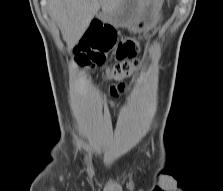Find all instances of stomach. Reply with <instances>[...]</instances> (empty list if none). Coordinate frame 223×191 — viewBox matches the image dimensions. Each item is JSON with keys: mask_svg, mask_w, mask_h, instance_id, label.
Returning a JSON list of instances; mask_svg holds the SVG:
<instances>
[{"mask_svg": "<svg viewBox=\"0 0 223 191\" xmlns=\"http://www.w3.org/2000/svg\"><path fill=\"white\" fill-rule=\"evenodd\" d=\"M163 0H125L112 12L102 11L99 18L115 27L144 32L157 21Z\"/></svg>", "mask_w": 223, "mask_h": 191, "instance_id": "obj_1", "label": "stomach"}]
</instances>
